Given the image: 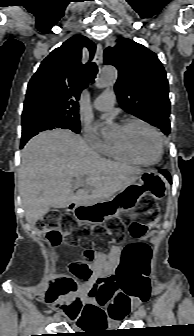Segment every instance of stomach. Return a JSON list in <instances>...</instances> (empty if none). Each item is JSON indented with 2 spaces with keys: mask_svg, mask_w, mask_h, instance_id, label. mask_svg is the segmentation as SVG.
Instances as JSON below:
<instances>
[{
  "mask_svg": "<svg viewBox=\"0 0 194 336\" xmlns=\"http://www.w3.org/2000/svg\"><path fill=\"white\" fill-rule=\"evenodd\" d=\"M166 181L155 171H143L134 183L108 200L90 206H76L73 215L79 223L103 224L121 211L133 209L145 195L161 200L166 195Z\"/></svg>",
  "mask_w": 194,
  "mask_h": 336,
  "instance_id": "0dacf381",
  "label": "stomach"
}]
</instances>
